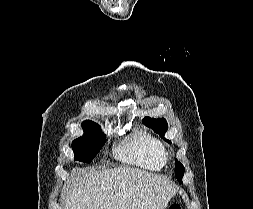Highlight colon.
<instances>
[{"instance_id": "obj_1", "label": "colon", "mask_w": 253, "mask_h": 209, "mask_svg": "<svg viewBox=\"0 0 253 209\" xmlns=\"http://www.w3.org/2000/svg\"><path fill=\"white\" fill-rule=\"evenodd\" d=\"M169 209H181L178 204H172Z\"/></svg>"}]
</instances>
